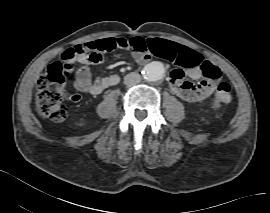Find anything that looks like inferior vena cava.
<instances>
[{
	"label": "inferior vena cava",
	"instance_id": "obj_1",
	"mask_svg": "<svg viewBox=\"0 0 270 213\" xmlns=\"http://www.w3.org/2000/svg\"><path fill=\"white\" fill-rule=\"evenodd\" d=\"M140 81H141V76L140 74L136 72H131L124 77V83L126 85H134V84L139 83Z\"/></svg>",
	"mask_w": 270,
	"mask_h": 213
}]
</instances>
